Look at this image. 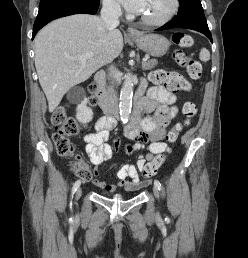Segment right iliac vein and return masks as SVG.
<instances>
[{"label":"right iliac vein","instance_id":"1","mask_svg":"<svg viewBox=\"0 0 248 258\" xmlns=\"http://www.w3.org/2000/svg\"><path fill=\"white\" fill-rule=\"evenodd\" d=\"M81 194H82V189L80 187H78V189L76 190V195H75L76 200H78L80 198Z\"/></svg>","mask_w":248,"mask_h":258}]
</instances>
